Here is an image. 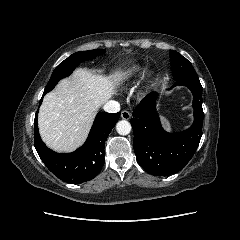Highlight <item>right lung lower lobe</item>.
Returning <instances> with one entry per match:
<instances>
[{"label": "right lung lower lobe", "mask_w": 240, "mask_h": 240, "mask_svg": "<svg viewBox=\"0 0 240 240\" xmlns=\"http://www.w3.org/2000/svg\"><path fill=\"white\" fill-rule=\"evenodd\" d=\"M45 94L43 93V96ZM119 117L120 113H98L84 145L72 153L59 154L47 148L41 140L36 114L34 121V145L37 153L46 167L61 180L72 184L89 181L102 168L105 161V141Z\"/></svg>", "instance_id": "1"}]
</instances>
